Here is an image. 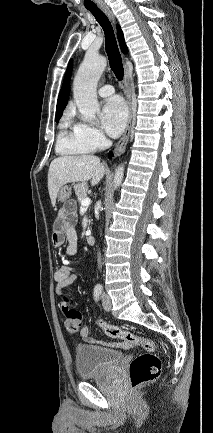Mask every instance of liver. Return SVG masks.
Here are the masks:
<instances>
[{"instance_id":"obj_1","label":"liver","mask_w":213,"mask_h":433,"mask_svg":"<svg viewBox=\"0 0 213 433\" xmlns=\"http://www.w3.org/2000/svg\"><path fill=\"white\" fill-rule=\"evenodd\" d=\"M104 174V165L94 155L55 158L48 171V191L52 205H55L58 192L65 184L91 180L92 186H95Z\"/></svg>"}]
</instances>
